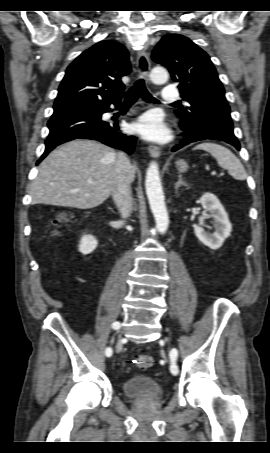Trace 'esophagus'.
<instances>
[{
  "mask_svg": "<svg viewBox=\"0 0 270 453\" xmlns=\"http://www.w3.org/2000/svg\"><path fill=\"white\" fill-rule=\"evenodd\" d=\"M151 68L150 60L148 55L144 51H140L137 54V71L138 74L145 79H148V74ZM148 152L152 157H159L161 155V150L155 145L148 146Z\"/></svg>",
  "mask_w": 270,
  "mask_h": 453,
  "instance_id": "esophagus-1",
  "label": "esophagus"
}]
</instances>
